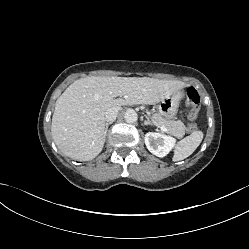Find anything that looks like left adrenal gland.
Wrapping results in <instances>:
<instances>
[{"mask_svg": "<svg viewBox=\"0 0 249 249\" xmlns=\"http://www.w3.org/2000/svg\"><path fill=\"white\" fill-rule=\"evenodd\" d=\"M147 120L144 122L145 125H150L152 126V122L149 120L148 116H146Z\"/></svg>", "mask_w": 249, "mask_h": 249, "instance_id": "left-adrenal-gland-1", "label": "left adrenal gland"}]
</instances>
